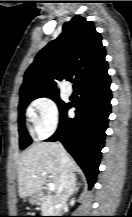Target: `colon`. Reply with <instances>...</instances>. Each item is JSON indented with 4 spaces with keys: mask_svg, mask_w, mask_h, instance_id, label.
I'll return each mask as SVG.
<instances>
[{
    "mask_svg": "<svg viewBox=\"0 0 132 217\" xmlns=\"http://www.w3.org/2000/svg\"><path fill=\"white\" fill-rule=\"evenodd\" d=\"M22 217H33V216H22Z\"/></svg>",
    "mask_w": 132,
    "mask_h": 217,
    "instance_id": "1",
    "label": "colon"
}]
</instances>
